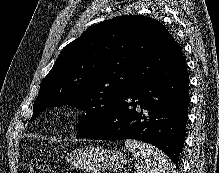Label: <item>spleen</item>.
<instances>
[{
	"mask_svg": "<svg viewBox=\"0 0 219 173\" xmlns=\"http://www.w3.org/2000/svg\"><path fill=\"white\" fill-rule=\"evenodd\" d=\"M125 146L139 163L137 173H175L171 160L155 147L132 139H127Z\"/></svg>",
	"mask_w": 219,
	"mask_h": 173,
	"instance_id": "1",
	"label": "spleen"
}]
</instances>
